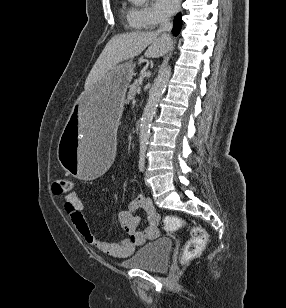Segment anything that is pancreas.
Returning <instances> with one entry per match:
<instances>
[{"label": "pancreas", "mask_w": 286, "mask_h": 308, "mask_svg": "<svg viewBox=\"0 0 286 308\" xmlns=\"http://www.w3.org/2000/svg\"><path fill=\"white\" fill-rule=\"evenodd\" d=\"M141 81L135 80L133 84L129 87L128 97L134 98L137 93V88L140 87Z\"/></svg>", "instance_id": "1"}]
</instances>
